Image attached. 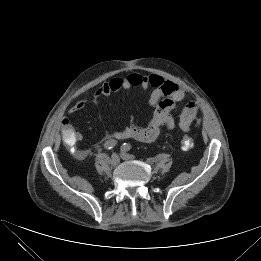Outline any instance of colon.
<instances>
[{
  "label": "colon",
  "mask_w": 261,
  "mask_h": 261,
  "mask_svg": "<svg viewBox=\"0 0 261 261\" xmlns=\"http://www.w3.org/2000/svg\"><path fill=\"white\" fill-rule=\"evenodd\" d=\"M63 131L62 135L66 138L67 141H72L74 137V132L72 127L69 125V121L67 119L63 120ZM194 142L193 139L189 135H183L181 138V146L184 150H189L193 147Z\"/></svg>",
  "instance_id": "5ec220e1"
}]
</instances>
